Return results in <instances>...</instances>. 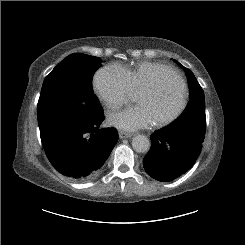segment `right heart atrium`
<instances>
[{
    "mask_svg": "<svg viewBox=\"0 0 245 245\" xmlns=\"http://www.w3.org/2000/svg\"><path fill=\"white\" fill-rule=\"evenodd\" d=\"M93 87L99 99L110 107L123 104L135 94L126 69L116 63L107 64L95 73Z\"/></svg>",
    "mask_w": 245,
    "mask_h": 245,
    "instance_id": "right-heart-atrium-1",
    "label": "right heart atrium"
}]
</instances>
